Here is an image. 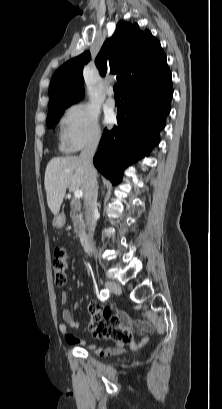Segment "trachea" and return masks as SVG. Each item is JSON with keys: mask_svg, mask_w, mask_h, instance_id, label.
Instances as JSON below:
<instances>
[{"mask_svg": "<svg viewBox=\"0 0 222 409\" xmlns=\"http://www.w3.org/2000/svg\"><path fill=\"white\" fill-rule=\"evenodd\" d=\"M113 89H114L115 95H119L118 84H115L114 87H113Z\"/></svg>", "mask_w": 222, "mask_h": 409, "instance_id": "trachea-1", "label": "trachea"}]
</instances>
